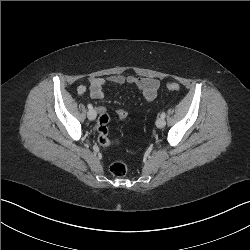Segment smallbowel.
I'll list each match as a JSON object with an SVG mask.
<instances>
[{"instance_id":"small-bowel-1","label":"small bowel","mask_w":250,"mask_h":250,"mask_svg":"<svg viewBox=\"0 0 250 250\" xmlns=\"http://www.w3.org/2000/svg\"><path fill=\"white\" fill-rule=\"evenodd\" d=\"M106 84L133 85L142 92L144 99L148 102H151L156 98L160 86L159 81L152 78H138L133 76L112 75L107 78H89L86 84H81L77 87V93L79 95H83L89 89L91 97L93 99L100 100L105 97L104 86ZM98 111L101 114L105 112V109L103 107H99Z\"/></svg>"}]
</instances>
